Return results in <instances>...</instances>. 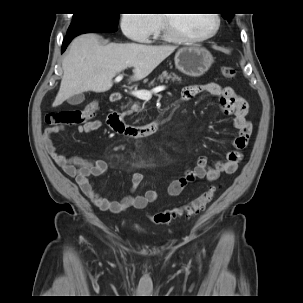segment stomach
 <instances>
[{"label":"stomach","mask_w":303,"mask_h":303,"mask_svg":"<svg viewBox=\"0 0 303 303\" xmlns=\"http://www.w3.org/2000/svg\"><path fill=\"white\" fill-rule=\"evenodd\" d=\"M174 60L176 68L191 77L204 75L214 62L211 53L202 47H183Z\"/></svg>","instance_id":"1"}]
</instances>
